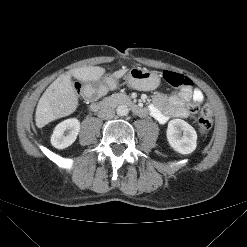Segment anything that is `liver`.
Listing matches in <instances>:
<instances>
[{"instance_id": "1", "label": "liver", "mask_w": 247, "mask_h": 247, "mask_svg": "<svg viewBox=\"0 0 247 247\" xmlns=\"http://www.w3.org/2000/svg\"><path fill=\"white\" fill-rule=\"evenodd\" d=\"M128 69L115 71L111 77L119 79ZM105 74L99 66L75 68L59 76L41 96L35 113V122L42 128L49 122L72 114L78 106V95L72 85L71 77L83 82L98 81Z\"/></svg>"}]
</instances>
